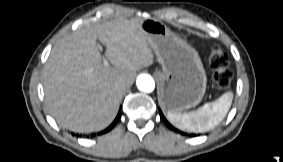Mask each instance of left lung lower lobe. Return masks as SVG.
<instances>
[{
  "instance_id": "0a47b994",
  "label": "left lung lower lobe",
  "mask_w": 283,
  "mask_h": 162,
  "mask_svg": "<svg viewBox=\"0 0 283 162\" xmlns=\"http://www.w3.org/2000/svg\"><path fill=\"white\" fill-rule=\"evenodd\" d=\"M159 112H160V117H161V119L165 122V124H166L169 128H173V127L168 123V121L165 119V117L163 116L162 112H161V111H159Z\"/></svg>"
}]
</instances>
